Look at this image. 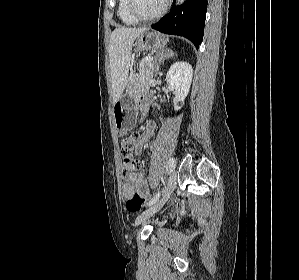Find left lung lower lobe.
<instances>
[{
	"label": "left lung lower lobe",
	"mask_w": 299,
	"mask_h": 280,
	"mask_svg": "<svg viewBox=\"0 0 299 280\" xmlns=\"http://www.w3.org/2000/svg\"><path fill=\"white\" fill-rule=\"evenodd\" d=\"M207 0H186L182 6H172L171 11L152 28L162 33L188 38L198 49L204 34Z\"/></svg>",
	"instance_id": "obj_1"
}]
</instances>
